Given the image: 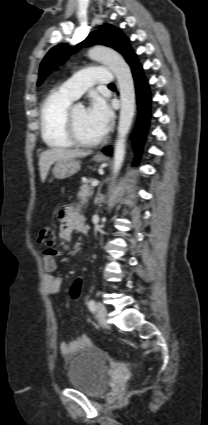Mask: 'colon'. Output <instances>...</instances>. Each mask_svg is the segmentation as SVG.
<instances>
[{
    "label": "colon",
    "instance_id": "5ec220e1",
    "mask_svg": "<svg viewBox=\"0 0 208 425\" xmlns=\"http://www.w3.org/2000/svg\"><path fill=\"white\" fill-rule=\"evenodd\" d=\"M37 242L39 246L44 247L47 250H51L56 242V235L54 230L51 227L43 228L40 232ZM82 287V279L77 278L70 288V296L75 300L79 299L82 293Z\"/></svg>",
    "mask_w": 208,
    "mask_h": 425
}]
</instances>
